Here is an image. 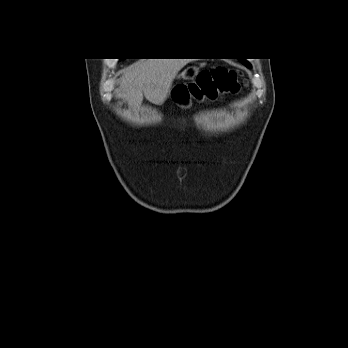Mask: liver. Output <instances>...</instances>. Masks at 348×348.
<instances>
[{
  "label": "liver",
  "mask_w": 348,
  "mask_h": 348,
  "mask_svg": "<svg viewBox=\"0 0 348 348\" xmlns=\"http://www.w3.org/2000/svg\"><path fill=\"white\" fill-rule=\"evenodd\" d=\"M189 59H143L124 71L117 96L129 105L139 106L143 96L161 105L168 98L178 72Z\"/></svg>",
  "instance_id": "liver-1"
}]
</instances>
